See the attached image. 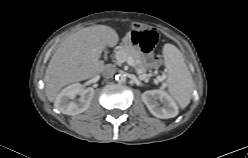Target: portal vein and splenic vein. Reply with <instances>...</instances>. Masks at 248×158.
<instances>
[{
  "label": "portal vein and splenic vein",
  "instance_id": "1",
  "mask_svg": "<svg viewBox=\"0 0 248 158\" xmlns=\"http://www.w3.org/2000/svg\"><path fill=\"white\" fill-rule=\"evenodd\" d=\"M118 56H121V54L119 53ZM126 61L128 63V65L130 66H135L134 65V60L132 58H123V62ZM158 81H160V78H157Z\"/></svg>",
  "mask_w": 248,
  "mask_h": 158
}]
</instances>
